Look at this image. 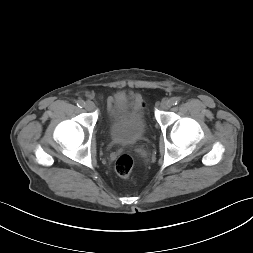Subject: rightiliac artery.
Returning <instances> with one entry per match:
<instances>
[{"label": "right iliac artery", "instance_id": "82829eb1", "mask_svg": "<svg viewBox=\"0 0 253 253\" xmlns=\"http://www.w3.org/2000/svg\"><path fill=\"white\" fill-rule=\"evenodd\" d=\"M77 106L80 108H83L85 106V102L83 100H78L77 101Z\"/></svg>", "mask_w": 253, "mask_h": 253}]
</instances>
